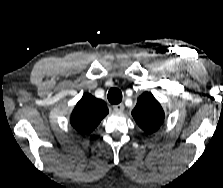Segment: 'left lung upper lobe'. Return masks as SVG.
<instances>
[{"label": "left lung upper lobe", "mask_w": 223, "mask_h": 188, "mask_svg": "<svg viewBox=\"0 0 223 188\" xmlns=\"http://www.w3.org/2000/svg\"><path fill=\"white\" fill-rule=\"evenodd\" d=\"M132 116L140 128L148 134L157 131L165 118L160 103L150 92H144L139 96L137 104L132 111Z\"/></svg>", "instance_id": "obj_1"}]
</instances>
